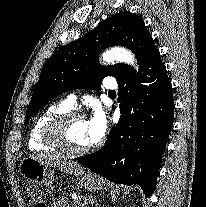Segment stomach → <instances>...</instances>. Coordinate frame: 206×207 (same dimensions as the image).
<instances>
[{"label":"stomach","mask_w":206,"mask_h":207,"mask_svg":"<svg viewBox=\"0 0 206 207\" xmlns=\"http://www.w3.org/2000/svg\"><path fill=\"white\" fill-rule=\"evenodd\" d=\"M20 175L26 180L49 186L54 181L55 172L50 165L40 162L32 157L24 158L19 166ZM76 184L90 191H98L103 188V181L91 173L80 174Z\"/></svg>","instance_id":"stomach-1"}]
</instances>
